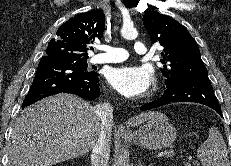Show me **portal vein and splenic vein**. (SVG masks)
<instances>
[{"label": "portal vein and splenic vein", "instance_id": "portal-vein-and-splenic-vein-1", "mask_svg": "<svg viewBox=\"0 0 231 166\" xmlns=\"http://www.w3.org/2000/svg\"><path fill=\"white\" fill-rule=\"evenodd\" d=\"M174 154H175V152L173 150L166 151V152L162 153V155H166V156H172ZM185 166H191V164L188 162V163L185 164Z\"/></svg>", "mask_w": 231, "mask_h": 166}]
</instances>
